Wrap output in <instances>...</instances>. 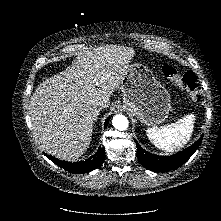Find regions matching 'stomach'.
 Masks as SVG:
<instances>
[{
    "label": "stomach",
    "instance_id": "obj_1",
    "mask_svg": "<svg viewBox=\"0 0 221 221\" xmlns=\"http://www.w3.org/2000/svg\"><path fill=\"white\" fill-rule=\"evenodd\" d=\"M123 102L142 123L155 126L166 120L171 109V97L145 65H129L121 82Z\"/></svg>",
    "mask_w": 221,
    "mask_h": 221
}]
</instances>
